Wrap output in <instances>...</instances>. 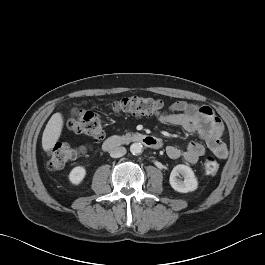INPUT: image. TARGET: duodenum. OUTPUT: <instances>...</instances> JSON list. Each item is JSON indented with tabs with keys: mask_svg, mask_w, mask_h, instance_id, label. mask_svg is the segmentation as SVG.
<instances>
[{
	"mask_svg": "<svg viewBox=\"0 0 265 265\" xmlns=\"http://www.w3.org/2000/svg\"><path fill=\"white\" fill-rule=\"evenodd\" d=\"M132 143H140L151 149H159L162 146L159 138L140 133L127 136H110L103 142L102 146L105 151H111L119 146Z\"/></svg>",
	"mask_w": 265,
	"mask_h": 265,
	"instance_id": "obj_1",
	"label": "duodenum"
}]
</instances>
